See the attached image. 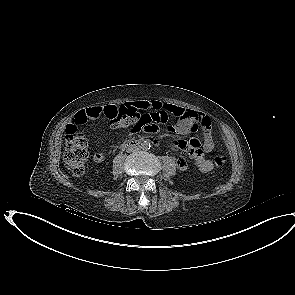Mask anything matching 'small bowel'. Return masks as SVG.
I'll return each mask as SVG.
<instances>
[{"instance_id":"small-bowel-1","label":"small bowel","mask_w":295,"mask_h":295,"mask_svg":"<svg viewBox=\"0 0 295 295\" xmlns=\"http://www.w3.org/2000/svg\"><path fill=\"white\" fill-rule=\"evenodd\" d=\"M137 110H152L153 113L164 112L166 115L174 116L178 119L175 131L180 134H187L201 129L204 132L203 140L193 137L189 140L178 139L170 142L172 147L185 151L194 160L196 167L201 172H209L213 169L211 160L205 154L211 152L215 147L212 133L211 120L208 116L194 110H190L173 104H163L156 100L136 101L128 104ZM103 116V109L100 106H92L78 111L68 126H82L89 120H94ZM106 159L105 152H96L93 155L95 163H102ZM177 167L181 171L188 169L187 161L184 157L177 160Z\"/></svg>"}]
</instances>
